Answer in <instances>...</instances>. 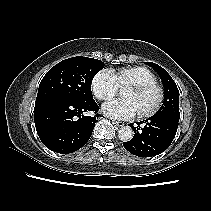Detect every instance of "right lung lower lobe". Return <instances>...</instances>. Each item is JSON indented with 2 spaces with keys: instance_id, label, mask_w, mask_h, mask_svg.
<instances>
[{
  "instance_id": "obj_1",
  "label": "right lung lower lobe",
  "mask_w": 211,
  "mask_h": 211,
  "mask_svg": "<svg viewBox=\"0 0 211 211\" xmlns=\"http://www.w3.org/2000/svg\"><path fill=\"white\" fill-rule=\"evenodd\" d=\"M94 100L71 102L40 100L35 102L34 121L42 143L50 150L68 154L80 149L89 139L99 117ZM94 111L95 115L83 113Z\"/></svg>"
}]
</instances>
